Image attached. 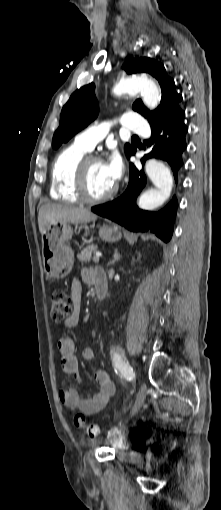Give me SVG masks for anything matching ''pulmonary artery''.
<instances>
[{"mask_svg": "<svg viewBox=\"0 0 221 510\" xmlns=\"http://www.w3.org/2000/svg\"><path fill=\"white\" fill-rule=\"evenodd\" d=\"M120 123L126 130H131L144 137L149 135V125L138 113H126ZM108 131V123L96 124L77 134L75 142L91 151L105 137Z\"/></svg>", "mask_w": 221, "mask_h": 510, "instance_id": "obj_1", "label": "pulmonary artery"}]
</instances>
